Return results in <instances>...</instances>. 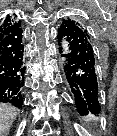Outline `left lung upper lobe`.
I'll use <instances>...</instances> for the list:
<instances>
[{"instance_id": "1", "label": "left lung upper lobe", "mask_w": 117, "mask_h": 136, "mask_svg": "<svg viewBox=\"0 0 117 136\" xmlns=\"http://www.w3.org/2000/svg\"><path fill=\"white\" fill-rule=\"evenodd\" d=\"M68 21H69L70 23H72V24H74V25L80 27L81 29H83L85 32L88 33V31H87L85 25H84L81 21L73 20V19H70V18H68ZM88 34H89V33H88Z\"/></svg>"}]
</instances>
